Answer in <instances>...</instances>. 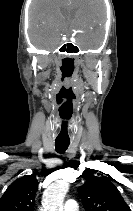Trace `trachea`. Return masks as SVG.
I'll return each mask as SVG.
<instances>
[{"label":"trachea","instance_id":"3493384b","mask_svg":"<svg viewBox=\"0 0 133 211\" xmlns=\"http://www.w3.org/2000/svg\"><path fill=\"white\" fill-rule=\"evenodd\" d=\"M70 142L69 141H55V148L58 153H64L66 149L68 148Z\"/></svg>","mask_w":133,"mask_h":211}]
</instances>
